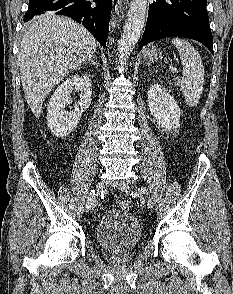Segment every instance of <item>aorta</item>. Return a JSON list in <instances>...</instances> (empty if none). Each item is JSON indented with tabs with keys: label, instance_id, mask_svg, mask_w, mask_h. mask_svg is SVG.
<instances>
[{
	"label": "aorta",
	"instance_id": "obj_1",
	"mask_svg": "<svg viewBox=\"0 0 233 294\" xmlns=\"http://www.w3.org/2000/svg\"><path fill=\"white\" fill-rule=\"evenodd\" d=\"M147 10V0H131L128 17L118 43L120 62H124L129 58L137 44L145 26Z\"/></svg>",
	"mask_w": 233,
	"mask_h": 294
}]
</instances>
